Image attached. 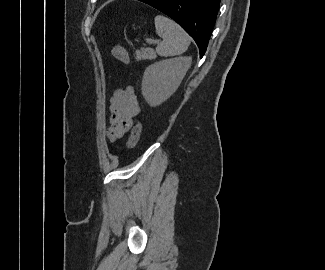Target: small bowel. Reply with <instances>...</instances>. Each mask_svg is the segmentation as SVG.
Here are the masks:
<instances>
[{"label":"small bowel","mask_w":325,"mask_h":270,"mask_svg":"<svg viewBox=\"0 0 325 270\" xmlns=\"http://www.w3.org/2000/svg\"><path fill=\"white\" fill-rule=\"evenodd\" d=\"M140 111V105L132 87L117 89L109 105L110 127L107 131L109 140L114 141L127 132Z\"/></svg>","instance_id":"c3829d8e"}]
</instances>
